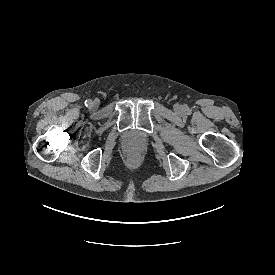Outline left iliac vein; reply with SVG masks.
Segmentation results:
<instances>
[{"mask_svg":"<svg viewBox=\"0 0 275 275\" xmlns=\"http://www.w3.org/2000/svg\"><path fill=\"white\" fill-rule=\"evenodd\" d=\"M175 110H176L177 112H181V111H182V107H181L180 105H176V106H175Z\"/></svg>","mask_w":275,"mask_h":275,"instance_id":"4c4485c4","label":"left iliac vein"}]
</instances>
